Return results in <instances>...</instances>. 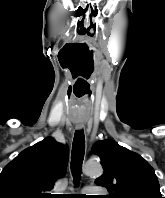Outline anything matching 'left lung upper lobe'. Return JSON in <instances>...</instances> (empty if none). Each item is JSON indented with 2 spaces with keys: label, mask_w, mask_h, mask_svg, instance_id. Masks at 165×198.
<instances>
[{
  "label": "left lung upper lobe",
  "mask_w": 165,
  "mask_h": 198,
  "mask_svg": "<svg viewBox=\"0 0 165 198\" xmlns=\"http://www.w3.org/2000/svg\"><path fill=\"white\" fill-rule=\"evenodd\" d=\"M92 150L104 169L95 183L108 189V198H163L154 169L139 154L113 140L97 141Z\"/></svg>",
  "instance_id": "left-lung-upper-lobe-1"
}]
</instances>
